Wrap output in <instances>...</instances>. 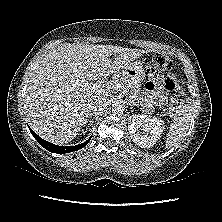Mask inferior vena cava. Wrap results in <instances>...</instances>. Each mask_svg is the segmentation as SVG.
<instances>
[{"label":"inferior vena cava","instance_id":"602c4592","mask_svg":"<svg viewBox=\"0 0 222 222\" xmlns=\"http://www.w3.org/2000/svg\"><path fill=\"white\" fill-rule=\"evenodd\" d=\"M108 105V100L106 97L97 96L94 100L91 101L89 105V110L92 111L94 114H97L103 111Z\"/></svg>","mask_w":222,"mask_h":222}]
</instances>
